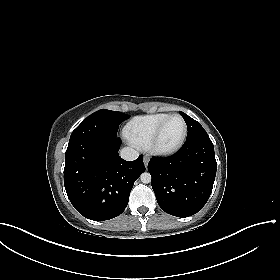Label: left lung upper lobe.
I'll use <instances>...</instances> for the list:
<instances>
[{
  "instance_id": "5c2ea615",
  "label": "left lung upper lobe",
  "mask_w": 280,
  "mask_h": 280,
  "mask_svg": "<svg viewBox=\"0 0 280 280\" xmlns=\"http://www.w3.org/2000/svg\"><path fill=\"white\" fill-rule=\"evenodd\" d=\"M182 117L184 118L186 124H187V130H188V134H187V138L191 139V138H195V137H204V136H208L207 132L203 129V127L194 119H192L191 117H189L188 115H186L183 112H179Z\"/></svg>"
}]
</instances>
